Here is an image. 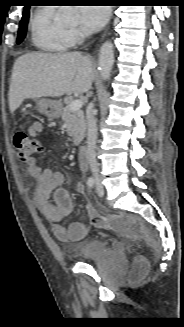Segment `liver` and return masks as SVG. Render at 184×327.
Listing matches in <instances>:
<instances>
[{
	"label": "liver",
	"mask_w": 184,
	"mask_h": 327,
	"mask_svg": "<svg viewBox=\"0 0 184 327\" xmlns=\"http://www.w3.org/2000/svg\"><path fill=\"white\" fill-rule=\"evenodd\" d=\"M93 61L80 52L27 53L14 63L9 87L11 113L27 98L83 94L92 88Z\"/></svg>",
	"instance_id": "1"
}]
</instances>
